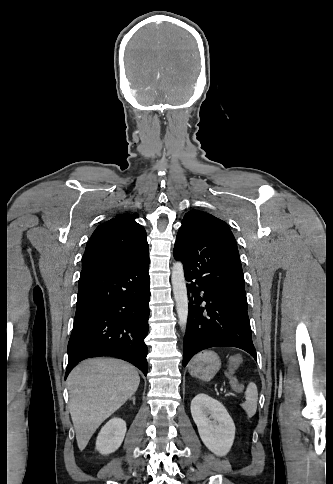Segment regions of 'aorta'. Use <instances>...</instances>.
Instances as JSON below:
<instances>
[{"mask_svg":"<svg viewBox=\"0 0 333 484\" xmlns=\"http://www.w3.org/2000/svg\"><path fill=\"white\" fill-rule=\"evenodd\" d=\"M171 282L179 325L183 333H185L188 318V296L183 264L180 261L173 264Z\"/></svg>","mask_w":333,"mask_h":484,"instance_id":"obj_1","label":"aorta"}]
</instances>
